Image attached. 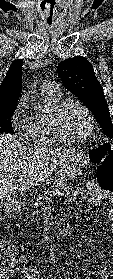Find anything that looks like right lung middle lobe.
I'll use <instances>...</instances> for the list:
<instances>
[{"instance_id":"obj_1","label":"right lung middle lobe","mask_w":113,"mask_h":279,"mask_svg":"<svg viewBox=\"0 0 113 279\" xmlns=\"http://www.w3.org/2000/svg\"><path fill=\"white\" fill-rule=\"evenodd\" d=\"M15 107L0 110V133L14 134L11 117L14 114Z\"/></svg>"}]
</instances>
